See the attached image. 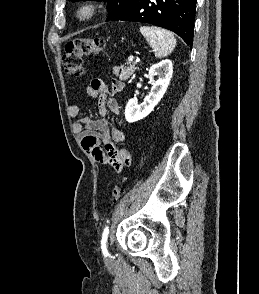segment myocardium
Here are the masks:
<instances>
[{
  "label": "myocardium",
  "instance_id": "myocardium-1",
  "mask_svg": "<svg viewBox=\"0 0 259 294\" xmlns=\"http://www.w3.org/2000/svg\"><path fill=\"white\" fill-rule=\"evenodd\" d=\"M98 6L93 2L83 4L77 11V19L80 22H87L95 17Z\"/></svg>",
  "mask_w": 259,
  "mask_h": 294
}]
</instances>
